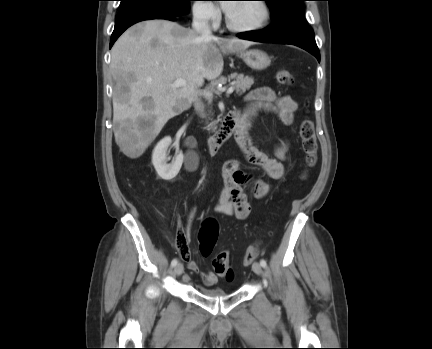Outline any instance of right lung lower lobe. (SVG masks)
<instances>
[{"instance_id":"98d812e1","label":"right lung lower lobe","mask_w":432,"mask_h":349,"mask_svg":"<svg viewBox=\"0 0 432 349\" xmlns=\"http://www.w3.org/2000/svg\"><path fill=\"white\" fill-rule=\"evenodd\" d=\"M185 14H188V12L177 13L168 8L155 5H143L119 12L116 16L114 31L111 35L110 48L128 27L137 22L151 19L177 21Z\"/></svg>"}]
</instances>
